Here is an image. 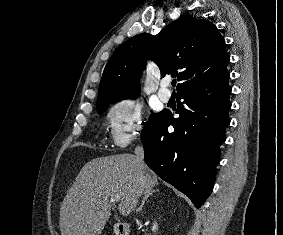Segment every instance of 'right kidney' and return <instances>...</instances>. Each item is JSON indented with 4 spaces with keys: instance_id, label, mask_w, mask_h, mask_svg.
<instances>
[{
    "instance_id": "1",
    "label": "right kidney",
    "mask_w": 283,
    "mask_h": 235,
    "mask_svg": "<svg viewBox=\"0 0 283 235\" xmlns=\"http://www.w3.org/2000/svg\"><path fill=\"white\" fill-rule=\"evenodd\" d=\"M157 230H158V224H157V222H154L153 226H152V231L156 232Z\"/></svg>"
}]
</instances>
